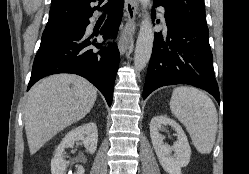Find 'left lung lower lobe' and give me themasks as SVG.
Listing matches in <instances>:
<instances>
[{
	"mask_svg": "<svg viewBox=\"0 0 249 174\" xmlns=\"http://www.w3.org/2000/svg\"><path fill=\"white\" fill-rule=\"evenodd\" d=\"M154 6L163 5L154 2ZM165 20L167 38H163L162 32L155 33L143 99L165 85L189 84L206 90L220 103L208 27L182 19L167 9Z\"/></svg>",
	"mask_w": 249,
	"mask_h": 174,
	"instance_id": "obj_1",
	"label": "left lung lower lobe"
}]
</instances>
